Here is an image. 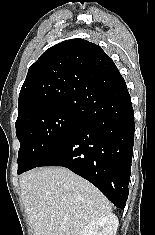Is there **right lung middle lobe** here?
I'll use <instances>...</instances> for the list:
<instances>
[{
  "instance_id": "obj_1",
  "label": "right lung middle lobe",
  "mask_w": 155,
  "mask_h": 235,
  "mask_svg": "<svg viewBox=\"0 0 155 235\" xmlns=\"http://www.w3.org/2000/svg\"><path fill=\"white\" fill-rule=\"evenodd\" d=\"M82 124L77 109L60 105L40 106L18 116V174L35 168Z\"/></svg>"
}]
</instances>
